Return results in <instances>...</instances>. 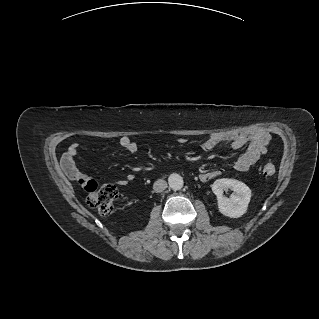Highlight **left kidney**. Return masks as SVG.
Here are the masks:
<instances>
[{
  "label": "left kidney",
  "instance_id": "5707ae66",
  "mask_svg": "<svg viewBox=\"0 0 319 319\" xmlns=\"http://www.w3.org/2000/svg\"><path fill=\"white\" fill-rule=\"evenodd\" d=\"M234 193L228 198L223 195L224 190ZM212 191L217 196L220 213L230 218L241 217L247 211L251 199V190L243 182L236 179L222 178L212 185Z\"/></svg>",
  "mask_w": 319,
  "mask_h": 319
}]
</instances>
